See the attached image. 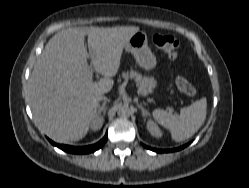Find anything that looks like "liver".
<instances>
[{
    "label": "liver",
    "instance_id": "obj_1",
    "mask_svg": "<svg viewBox=\"0 0 249 188\" xmlns=\"http://www.w3.org/2000/svg\"><path fill=\"white\" fill-rule=\"evenodd\" d=\"M139 27H75L55 34L38 57L30 78V105L36 126L58 143L85 137L109 92L123 48ZM88 36V50L84 45ZM97 73L92 80L88 61Z\"/></svg>",
    "mask_w": 249,
    "mask_h": 188
}]
</instances>
